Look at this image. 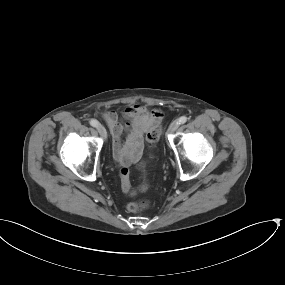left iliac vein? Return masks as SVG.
<instances>
[{"mask_svg":"<svg viewBox=\"0 0 285 285\" xmlns=\"http://www.w3.org/2000/svg\"><path fill=\"white\" fill-rule=\"evenodd\" d=\"M179 127V123L178 121H173L169 128H168V133L171 134V133H174Z\"/></svg>","mask_w":285,"mask_h":285,"instance_id":"4c4485c4","label":"left iliac vein"}]
</instances>
